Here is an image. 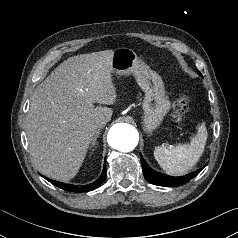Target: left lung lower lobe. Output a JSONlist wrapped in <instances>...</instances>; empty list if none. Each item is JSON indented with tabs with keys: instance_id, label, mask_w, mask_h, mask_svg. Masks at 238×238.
I'll return each instance as SVG.
<instances>
[{
	"instance_id": "obj_1",
	"label": "left lung lower lobe",
	"mask_w": 238,
	"mask_h": 238,
	"mask_svg": "<svg viewBox=\"0 0 238 238\" xmlns=\"http://www.w3.org/2000/svg\"><path fill=\"white\" fill-rule=\"evenodd\" d=\"M140 159L145 179L148 182L158 186L176 187L183 185L190 181L192 178H194L196 175H198L199 172L202 170H197L191 174H188L185 177H172L154 171L145 163L142 157H140Z\"/></svg>"
}]
</instances>
